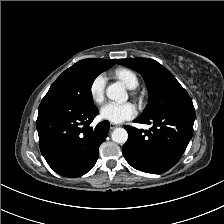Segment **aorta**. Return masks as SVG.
I'll return each instance as SVG.
<instances>
[{"mask_svg":"<svg viewBox=\"0 0 224 224\" xmlns=\"http://www.w3.org/2000/svg\"><path fill=\"white\" fill-rule=\"evenodd\" d=\"M106 94L109 99L118 101L120 103H124L128 99V94L125 90V87L118 82L109 85L106 89ZM111 138L118 144H124L128 139V133L124 128H116L112 132Z\"/></svg>","mask_w":224,"mask_h":224,"instance_id":"762f6f07","label":"aorta"}]
</instances>
